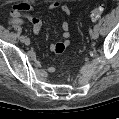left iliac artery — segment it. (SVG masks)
<instances>
[{
  "label": "left iliac artery",
  "instance_id": "obj_1",
  "mask_svg": "<svg viewBox=\"0 0 119 119\" xmlns=\"http://www.w3.org/2000/svg\"><path fill=\"white\" fill-rule=\"evenodd\" d=\"M98 29H99V25L96 24V25L94 26V30H98Z\"/></svg>",
  "mask_w": 119,
  "mask_h": 119
}]
</instances>
